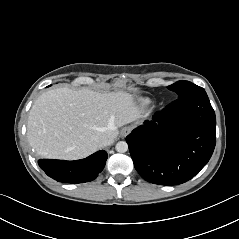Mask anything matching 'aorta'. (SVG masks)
Masks as SVG:
<instances>
[{
  "mask_svg": "<svg viewBox=\"0 0 239 239\" xmlns=\"http://www.w3.org/2000/svg\"><path fill=\"white\" fill-rule=\"evenodd\" d=\"M115 148L117 152L125 153L128 150V144L125 141H119Z\"/></svg>",
  "mask_w": 239,
  "mask_h": 239,
  "instance_id": "762f6f07",
  "label": "aorta"
}]
</instances>
